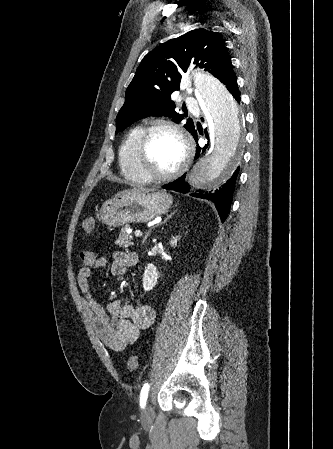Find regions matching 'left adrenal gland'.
Listing matches in <instances>:
<instances>
[{
  "label": "left adrenal gland",
  "instance_id": "left-adrenal-gland-1",
  "mask_svg": "<svg viewBox=\"0 0 333 449\" xmlns=\"http://www.w3.org/2000/svg\"><path fill=\"white\" fill-rule=\"evenodd\" d=\"M176 211H177V210H175V211L172 212L171 214L167 215L166 218L164 219V221H163L162 223H166L170 218H172V216L175 214ZM150 232H151V230H149V231L147 232V234L145 235V237H144V239H143V241H142V244L145 243V241H146L147 237L149 236Z\"/></svg>",
  "mask_w": 333,
  "mask_h": 449
}]
</instances>
